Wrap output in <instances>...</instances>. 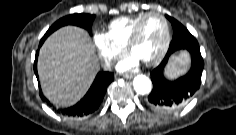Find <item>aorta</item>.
Listing matches in <instances>:
<instances>
[{"instance_id": "aorta-1", "label": "aorta", "mask_w": 236, "mask_h": 135, "mask_svg": "<svg viewBox=\"0 0 236 135\" xmlns=\"http://www.w3.org/2000/svg\"><path fill=\"white\" fill-rule=\"evenodd\" d=\"M134 90L141 95L150 93L152 84L150 79L145 75H137L133 79Z\"/></svg>"}]
</instances>
